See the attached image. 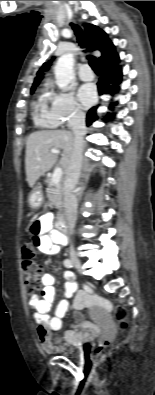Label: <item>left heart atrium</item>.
<instances>
[{"mask_svg":"<svg viewBox=\"0 0 155 395\" xmlns=\"http://www.w3.org/2000/svg\"><path fill=\"white\" fill-rule=\"evenodd\" d=\"M78 97L81 104L85 107L90 106L96 99V91L93 85L85 84L78 92Z\"/></svg>","mask_w":155,"mask_h":395,"instance_id":"39dd6f15","label":"left heart atrium"}]
</instances>
